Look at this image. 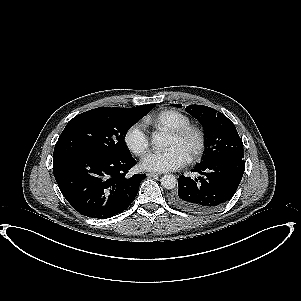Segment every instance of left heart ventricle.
Returning <instances> with one entry per match:
<instances>
[{"label":"left heart ventricle","mask_w":301,"mask_h":301,"mask_svg":"<svg viewBox=\"0 0 301 301\" xmlns=\"http://www.w3.org/2000/svg\"><path fill=\"white\" fill-rule=\"evenodd\" d=\"M191 139L185 140H178L171 137H165L163 140V146L166 148H171L178 152L181 156H184L185 153L191 148L192 146Z\"/></svg>","instance_id":"b2bd125f"}]
</instances>
